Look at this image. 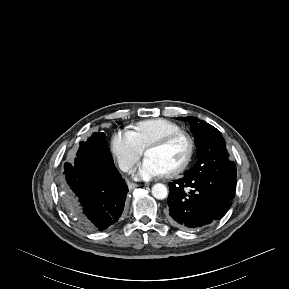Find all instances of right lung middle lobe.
Listing matches in <instances>:
<instances>
[{"label":"right lung middle lobe","instance_id":"obj_1","mask_svg":"<svg viewBox=\"0 0 289 289\" xmlns=\"http://www.w3.org/2000/svg\"><path fill=\"white\" fill-rule=\"evenodd\" d=\"M83 154H92L93 156L100 157L102 159H105L106 161H113L109 147L106 142V134L103 132L94 133L91 137L87 139V141L80 142V147L77 152V158H79ZM70 165L71 164L69 163L64 164V173L65 170L69 169Z\"/></svg>","mask_w":289,"mask_h":289}]
</instances>
